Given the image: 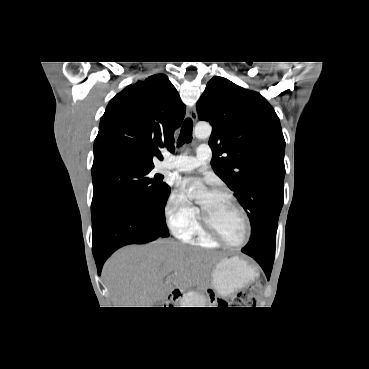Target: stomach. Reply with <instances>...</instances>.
<instances>
[{
    "label": "stomach",
    "mask_w": 369,
    "mask_h": 369,
    "mask_svg": "<svg viewBox=\"0 0 369 369\" xmlns=\"http://www.w3.org/2000/svg\"><path fill=\"white\" fill-rule=\"evenodd\" d=\"M255 277V271L238 257L222 259L212 272L214 290L229 296Z\"/></svg>",
    "instance_id": "1"
}]
</instances>
